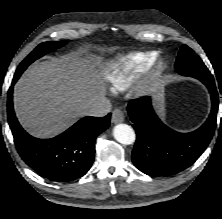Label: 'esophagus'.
I'll list each match as a JSON object with an SVG mask.
<instances>
[{"instance_id": "esophagus-1", "label": "esophagus", "mask_w": 222, "mask_h": 219, "mask_svg": "<svg viewBox=\"0 0 222 219\" xmlns=\"http://www.w3.org/2000/svg\"><path fill=\"white\" fill-rule=\"evenodd\" d=\"M113 123H121L124 121V113L120 109H115L112 112V118Z\"/></svg>"}]
</instances>
